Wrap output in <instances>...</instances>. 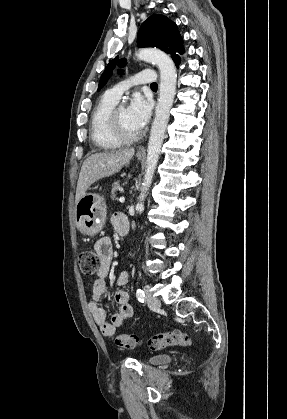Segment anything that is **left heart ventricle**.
Wrapping results in <instances>:
<instances>
[{
    "label": "left heart ventricle",
    "mask_w": 287,
    "mask_h": 419,
    "mask_svg": "<svg viewBox=\"0 0 287 419\" xmlns=\"http://www.w3.org/2000/svg\"><path fill=\"white\" fill-rule=\"evenodd\" d=\"M118 119H119L121 128L125 133L129 135H134L138 133V131L130 123V120L127 114V109L125 107H120V109L118 110Z\"/></svg>",
    "instance_id": "b2bd125f"
}]
</instances>
